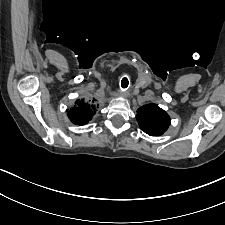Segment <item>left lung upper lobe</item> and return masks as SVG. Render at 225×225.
Returning a JSON list of instances; mask_svg holds the SVG:
<instances>
[{"label":"left lung upper lobe","mask_w":225,"mask_h":225,"mask_svg":"<svg viewBox=\"0 0 225 225\" xmlns=\"http://www.w3.org/2000/svg\"><path fill=\"white\" fill-rule=\"evenodd\" d=\"M136 117L141 129L151 136L162 135L170 125L169 115L156 104L139 108Z\"/></svg>","instance_id":"1"}]
</instances>
